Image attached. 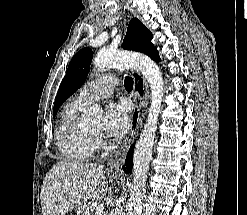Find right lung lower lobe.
Returning a JSON list of instances; mask_svg holds the SVG:
<instances>
[{
    "mask_svg": "<svg viewBox=\"0 0 247 215\" xmlns=\"http://www.w3.org/2000/svg\"><path fill=\"white\" fill-rule=\"evenodd\" d=\"M133 149H134V145L131 146L127 154L126 161H125L126 166H123V170L125 171V173L127 172L131 173Z\"/></svg>",
    "mask_w": 247,
    "mask_h": 215,
    "instance_id": "1",
    "label": "right lung lower lobe"
}]
</instances>
